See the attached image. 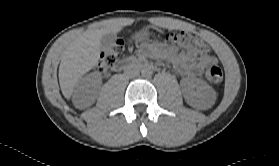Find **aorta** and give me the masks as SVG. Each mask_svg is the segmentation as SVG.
Listing matches in <instances>:
<instances>
[{
  "mask_svg": "<svg viewBox=\"0 0 279 166\" xmlns=\"http://www.w3.org/2000/svg\"><path fill=\"white\" fill-rule=\"evenodd\" d=\"M152 70H151V68H149V67H144V68H142V70H141V75L143 76V77H145V78H149V77H151L152 76Z\"/></svg>",
  "mask_w": 279,
  "mask_h": 166,
  "instance_id": "1",
  "label": "aorta"
}]
</instances>
